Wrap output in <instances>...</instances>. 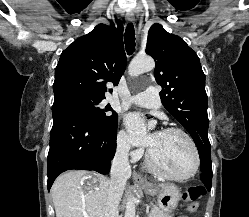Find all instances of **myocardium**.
<instances>
[{"label": "myocardium", "instance_id": "1", "mask_svg": "<svg viewBox=\"0 0 249 217\" xmlns=\"http://www.w3.org/2000/svg\"><path fill=\"white\" fill-rule=\"evenodd\" d=\"M161 132L164 133H178L180 135H182L190 144L193 154H194V165L193 168L190 172H188L187 174L184 175H174L171 174L165 170H163L154 160L153 158V154L151 149H149L147 151L146 154V162L149 166V168L151 169V171L153 173H155L156 175L168 179V180H175V181H184V180H188L190 178H192L198 171L199 167H200V154H199V150L198 147L194 141V139L191 137V135L186 132L185 130L178 128V127H167L164 128Z\"/></svg>", "mask_w": 249, "mask_h": 217}]
</instances>
